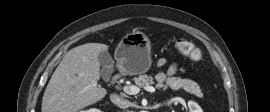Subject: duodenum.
Masks as SVG:
<instances>
[{
	"label": "duodenum",
	"mask_w": 270,
	"mask_h": 112,
	"mask_svg": "<svg viewBox=\"0 0 270 112\" xmlns=\"http://www.w3.org/2000/svg\"><path fill=\"white\" fill-rule=\"evenodd\" d=\"M115 76H116V74H113V76H112V79H111V80H114Z\"/></svg>",
	"instance_id": "duodenum-1"
}]
</instances>
